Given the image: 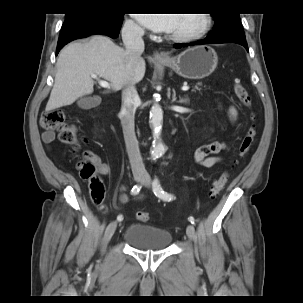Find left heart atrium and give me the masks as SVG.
<instances>
[{
  "label": "left heart atrium",
  "instance_id": "obj_1",
  "mask_svg": "<svg viewBox=\"0 0 303 303\" xmlns=\"http://www.w3.org/2000/svg\"><path fill=\"white\" fill-rule=\"evenodd\" d=\"M138 20L155 32H172L177 14H137Z\"/></svg>",
  "mask_w": 303,
  "mask_h": 303
}]
</instances>
